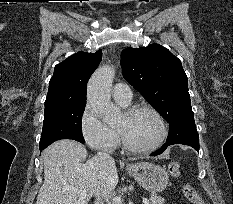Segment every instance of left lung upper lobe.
<instances>
[{"label":"left lung upper lobe","mask_w":233,"mask_h":204,"mask_svg":"<svg viewBox=\"0 0 233 204\" xmlns=\"http://www.w3.org/2000/svg\"><path fill=\"white\" fill-rule=\"evenodd\" d=\"M123 77L147 99L170 126L167 141L181 133L196 132L181 61L168 49L151 44L122 51Z\"/></svg>","instance_id":"1"}]
</instances>
